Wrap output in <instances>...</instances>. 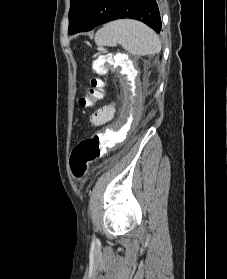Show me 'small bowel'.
Segmentation results:
<instances>
[{"label": "small bowel", "instance_id": "1", "mask_svg": "<svg viewBox=\"0 0 227 279\" xmlns=\"http://www.w3.org/2000/svg\"><path fill=\"white\" fill-rule=\"evenodd\" d=\"M116 101H111L109 104L103 106L90 117V121L93 125L101 126L109 123L115 113Z\"/></svg>", "mask_w": 227, "mask_h": 279}]
</instances>
